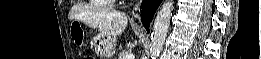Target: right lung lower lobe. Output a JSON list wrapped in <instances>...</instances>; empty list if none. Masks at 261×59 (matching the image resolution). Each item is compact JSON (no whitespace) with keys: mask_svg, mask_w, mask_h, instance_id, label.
<instances>
[{"mask_svg":"<svg viewBox=\"0 0 261 59\" xmlns=\"http://www.w3.org/2000/svg\"><path fill=\"white\" fill-rule=\"evenodd\" d=\"M161 2L162 0H144L141 5L143 15L142 22L144 27L147 29V32H149L150 21Z\"/></svg>","mask_w":261,"mask_h":59,"instance_id":"1","label":"right lung lower lobe"}]
</instances>
